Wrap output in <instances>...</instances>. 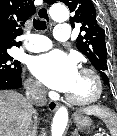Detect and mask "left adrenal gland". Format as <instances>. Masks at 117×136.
I'll list each match as a JSON object with an SVG mask.
<instances>
[{
    "label": "left adrenal gland",
    "mask_w": 117,
    "mask_h": 136,
    "mask_svg": "<svg viewBox=\"0 0 117 136\" xmlns=\"http://www.w3.org/2000/svg\"><path fill=\"white\" fill-rule=\"evenodd\" d=\"M78 128H76L75 130H74V132L72 133V136H79V133H78Z\"/></svg>",
    "instance_id": "left-adrenal-gland-1"
}]
</instances>
